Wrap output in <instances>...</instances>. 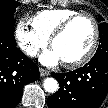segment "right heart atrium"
Masks as SVG:
<instances>
[{"mask_svg": "<svg viewBox=\"0 0 108 108\" xmlns=\"http://www.w3.org/2000/svg\"><path fill=\"white\" fill-rule=\"evenodd\" d=\"M15 37L20 49L29 57L36 56L48 44V40L31 29L26 21L18 22Z\"/></svg>", "mask_w": 108, "mask_h": 108, "instance_id": "1", "label": "right heart atrium"}]
</instances>
